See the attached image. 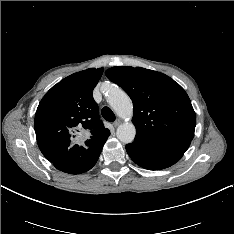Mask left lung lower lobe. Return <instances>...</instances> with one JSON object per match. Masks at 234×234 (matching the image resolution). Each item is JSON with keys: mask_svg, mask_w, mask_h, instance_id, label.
<instances>
[{"mask_svg": "<svg viewBox=\"0 0 234 234\" xmlns=\"http://www.w3.org/2000/svg\"><path fill=\"white\" fill-rule=\"evenodd\" d=\"M190 140L135 139L126 145V151L139 166L159 170L175 164L188 149Z\"/></svg>", "mask_w": 234, "mask_h": 234, "instance_id": "obj_1", "label": "left lung lower lobe"}]
</instances>
